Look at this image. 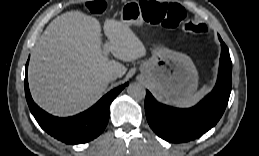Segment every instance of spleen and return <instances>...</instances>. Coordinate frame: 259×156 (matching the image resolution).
Wrapping results in <instances>:
<instances>
[{
  "label": "spleen",
  "instance_id": "3e777b00",
  "mask_svg": "<svg viewBox=\"0 0 259 156\" xmlns=\"http://www.w3.org/2000/svg\"><path fill=\"white\" fill-rule=\"evenodd\" d=\"M208 88L203 86L198 92L193 95H190L186 98L180 99L174 103L175 106L180 108H189L197 104L206 94Z\"/></svg>",
  "mask_w": 259,
  "mask_h": 156
}]
</instances>
